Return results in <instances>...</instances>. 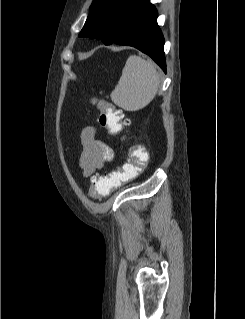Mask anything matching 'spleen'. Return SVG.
I'll list each match as a JSON object with an SVG mask.
<instances>
[{
    "label": "spleen",
    "mask_w": 245,
    "mask_h": 319,
    "mask_svg": "<svg viewBox=\"0 0 245 319\" xmlns=\"http://www.w3.org/2000/svg\"><path fill=\"white\" fill-rule=\"evenodd\" d=\"M159 85L160 75L155 63L140 56L131 55L110 97L114 104L122 109L138 111L154 99Z\"/></svg>",
    "instance_id": "1"
}]
</instances>
